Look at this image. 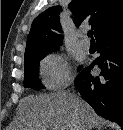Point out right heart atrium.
Here are the masks:
<instances>
[{
	"label": "right heart atrium",
	"mask_w": 123,
	"mask_h": 130,
	"mask_svg": "<svg viewBox=\"0 0 123 130\" xmlns=\"http://www.w3.org/2000/svg\"><path fill=\"white\" fill-rule=\"evenodd\" d=\"M41 73L46 85L54 90L62 89L71 81V68L61 54H50L41 63Z\"/></svg>",
	"instance_id": "right-heart-atrium-1"
}]
</instances>
